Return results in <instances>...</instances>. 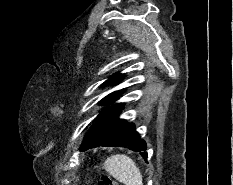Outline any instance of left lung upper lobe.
I'll return each instance as SVG.
<instances>
[{"mask_svg":"<svg viewBox=\"0 0 233 185\" xmlns=\"http://www.w3.org/2000/svg\"><path fill=\"white\" fill-rule=\"evenodd\" d=\"M123 78V75H113L111 78H109V80L106 82H112L114 84L120 82V80ZM123 90L121 91H117V92H113L111 94H109L108 96H106L105 98H103L100 103L105 105V104H110L111 101H114L119 95L120 93H122ZM108 110V108L104 109L98 116H97V121L103 116V114Z\"/></svg>","mask_w":233,"mask_h":185,"instance_id":"left-lung-upper-lobe-1","label":"left lung upper lobe"}]
</instances>
